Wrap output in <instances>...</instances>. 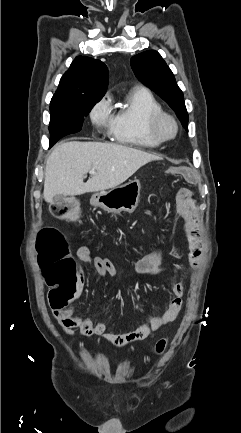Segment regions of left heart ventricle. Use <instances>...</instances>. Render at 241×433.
Segmentation results:
<instances>
[{
	"label": "left heart ventricle",
	"mask_w": 241,
	"mask_h": 433,
	"mask_svg": "<svg viewBox=\"0 0 241 433\" xmlns=\"http://www.w3.org/2000/svg\"><path fill=\"white\" fill-rule=\"evenodd\" d=\"M162 132H163V134L166 135V136L171 135L172 132H173V127H172V125H171L169 122H165V123L162 125Z\"/></svg>",
	"instance_id": "b2bd125f"
}]
</instances>
